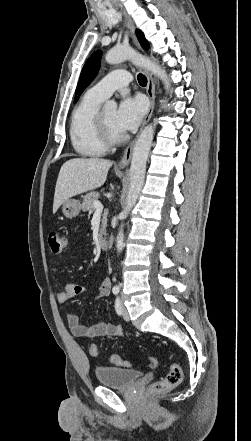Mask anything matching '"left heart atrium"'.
Returning <instances> with one entry per match:
<instances>
[{
    "label": "left heart atrium",
    "mask_w": 251,
    "mask_h": 441,
    "mask_svg": "<svg viewBox=\"0 0 251 441\" xmlns=\"http://www.w3.org/2000/svg\"><path fill=\"white\" fill-rule=\"evenodd\" d=\"M145 113V103L140 97H126L116 112V127L122 133L136 129Z\"/></svg>",
    "instance_id": "39dd6f15"
}]
</instances>
